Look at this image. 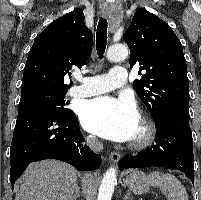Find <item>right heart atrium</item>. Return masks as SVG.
<instances>
[{"instance_id":"1","label":"right heart atrium","mask_w":201,"mask_h":200,"mask_svg":"<svg viewBox=\"0 0 201 200\" xmlns=\"http://www.w3.org/2000/svg\"><path fill=\"white\" fill-rule=\"evenodd\" d=\"M87 140H88V143H89L90 145H92V146H97V141H96V139H95L94 137L89 136V137L87 138Z\"/></svg>"}]
</instances>
